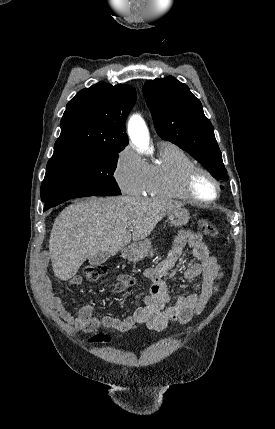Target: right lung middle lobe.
<instances>
[{
    "mask_svg": "<svg viewBox=\"0 0 275 429\" xmlns=\"http://www.w3.org/2000/svg\"><path fill=\"white\" fill-rule=\"evenodd\" d=\"M121 150L64 151L47 163L41 185L43 202L67 194L85 196L120 195L113 177Z\"/></svg>",
    "mask_w": 275,
    "mask_h": 429,
    "instance_id": "right-lung-middle-lobe-1",
    "label": "right lung middle lobe"
}]
</instances>
